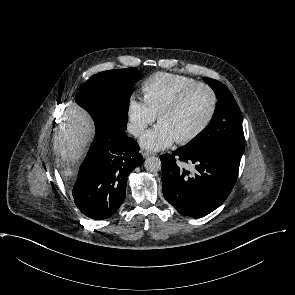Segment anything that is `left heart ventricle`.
I'll list each match as a JSON object with an SVG mask.
<instances>
[{"instance_id": "left-heart-ventricle-1", "label": "left heart ventricle", "mask_w": 295, "mask_h": 295, "mask_svg": "<svg viewBox=\"0 0 295 295\" xmlns=\"http://www.w3.org/2000/svg\"><path fill=\"white\" fill-rule=\"evenodd\" d=\"M211 107L210 93L205 88H197L179 110L163 117L160 123L170 128L180 139L193 133L206 120Z\"/></svg>"}]
</instances>
